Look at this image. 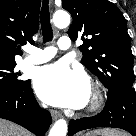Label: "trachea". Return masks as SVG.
I'll return each mask as SVG.
<instances>
[{
  "instance_id": "obj_1",
  "label": "trachea",
  "mask_w": 136,
  "mask_h": 136,
  "mask_svg": "<svg viewBox=\"0 0 136 136\" xmlns=\"http://www.w3.org/2000/svg\"><path fill=\"white\" fill-rule=\"evenodd\" d=\"M48 4H49V0H43V5L40 13V21H41V28H42L44 42L51 41L53 37Z\"/></svg>"
}]
</instances>
